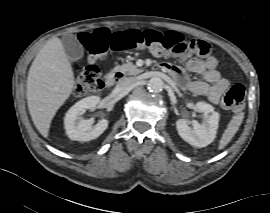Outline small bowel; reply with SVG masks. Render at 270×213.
Here are the masks:
<instances>
[{
    "instance_id": "c3829d8e",
    "label": "small bowel",
    "mask_w": 270,
    "mask_h": 213,
    "mask_svg": "<svg viewBox=\"0 0 270 213\" xmlns=\"http://www.w3.org/2000/svg\"><path fill=\"white\" fill-rule=\"evenodd\" d=\"M185 58L181 56L180 60L183 61ZM217 64V57L209 50L203 59L191 58L185 65L186 72L199 76L202 80L188 81L184 83V86L196 94L206 96L213 104H218L221 96L230 87L229 80L223 78L217 71ZM159 67L177 80L184 76V70L177 65L162 63Z\"/></svg>"
}]
</instances>
